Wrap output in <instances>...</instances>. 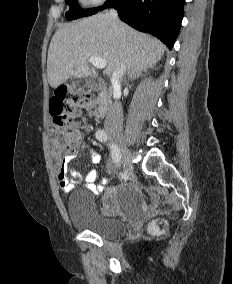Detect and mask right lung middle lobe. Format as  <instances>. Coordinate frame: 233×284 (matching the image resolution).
I'll use <instances>...</instances> for the list:
<instances>
[{
	"label": "right lung middle lobe",
	"mask_w": 233,
	"mask_h": 284,
	"mask_svg": "<svg viewBox=\"0 0 233 284\" xmlns=\"http://www.w3.org/2000/svg\"><path fill=\"white\" fill-rule=\"evenodd\" d=\"M66 3L70 6L69 11L66 12L67 20H75L83 16H90L92 14H95L97 12V9L99 8H92L85 11L80 6H77V0H66Z\"/></svg>",
	"instance_id": "dd1d6c3e"
}]
</instances>
